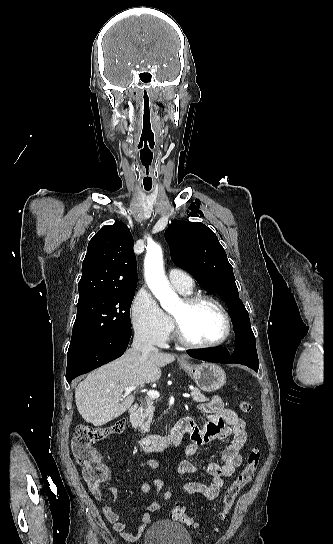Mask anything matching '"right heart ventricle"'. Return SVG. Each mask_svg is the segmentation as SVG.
<instances>
[{
    "label": "right heart ventricle",
    "mask_w": 333,
    "mask_h": 544,
    "mask_svg": "<svg viewBox=\"0 0 333 544\" xmlns=\"http://www.w3.org/2000/svg\"><path fill=\"white\" fill-rule=\"evenodd\" d=\"M181 293H182V294H185V295H188V294L191 293V291H189V292H181Z\"/></svg>",
    "instance_id": "e07e8e85"
}]
</instances>
